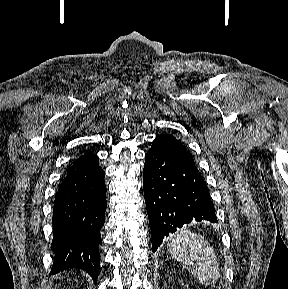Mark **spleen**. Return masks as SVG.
Listing matches in <instances>:
<instances>
[{
  "label": "spleen",
  "mask_w": 288,
  "mask_h": 289,
  "mask_svg": "<svg viewBox=\"0 0 288 289\" xmlns=\"http://www.w3.org/2000/svg\"><path fill=\"white\" fill-rule=\"evenodd\" d=\"M167 250L199 283L211 285L218 281L220 269L216 253L200 234L181 228L169 239Z\"/></svg>",
  "instance_id": "1"
}]
</instances>
